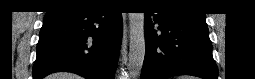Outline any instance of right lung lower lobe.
<instances>
[{
	"mask_svg": "<svg viewBox=\"0 0 255 79\" xmlns=\"http://www.w3.org/2000/svg\"><path fill=\"white\" fill-rule=\"evenodd\" d=\"M122 36V17L104 7L69 8L45 15L33 79L57 71L87 79H113Z\"/></svg>",
	"mask_w": 255,
	"mask_h": 79,
	"instance_id": "98d812e1",
	"label": "right lung lower lobe"
}]
</instances>
